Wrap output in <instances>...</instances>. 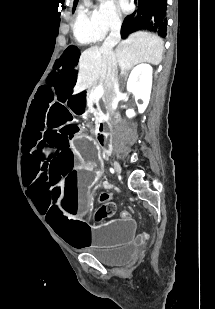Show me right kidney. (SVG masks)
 Wrapping results in <instances>:
<instances>
[{
	"mask_svg": "<svg viewBox=\"0 0 215 309\" xmlns=\"http://www.w3.org/2000/svg\"><path fill=\"white\" fill-rule=\"evenodd\" d=\"M152 72V66L142 62V64H137V66H134L127 80V90L133 92L136 102L138 98H142L143 100V104H138L137 102L139 112H144L150 100ZM126 114L128 118H132V116H135L136 112H134L132 108H128V110H126Z\"/></svg>",
	"mask_w": 215,
	"mask_h": 309,
	"instance_id": "obj_1",
	"label": "right kidney"
}]
</instances>
